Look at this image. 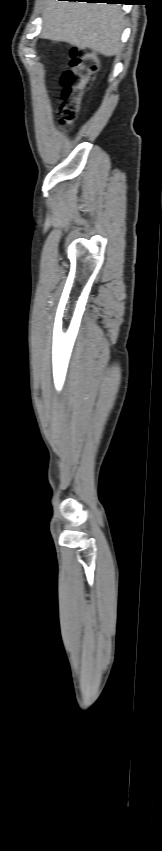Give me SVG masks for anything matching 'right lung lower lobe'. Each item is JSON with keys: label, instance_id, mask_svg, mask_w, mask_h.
I'll list each match as a JSON object with an SVG mask.
<instances>
[{"label": "right lung lower lobe", "instance_id": "98d812e1", "mask_svg": "<svg viewBox=\"0 0 162 851\" xmlns=\"http://www.w3.org/2000/svg\"><path fill=\"white\" fill-rule=\"evenodd\" d=\"M68 1H86V2H96V3H100V2L102 3L103 2V3H108V4H119V3L120 4H122V3L127 4L126 2L129 1V0H68Z\"/></svg>", "mask_w": 162, "mask_h": 851}]
</instances>
